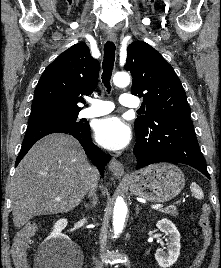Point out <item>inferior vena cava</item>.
Masks as SVG:
<instances>
[{
	"label": "inferior vena cava",
	"mask_w": 221,
	"mask_h": 268,
	"mask_svg": "<svg viewBox=\"0 0 221 268\" xmlns=\"http://www.w3.org/2000/svg\"><path fill=\"white\" fill-rule=\"evenodd\" d=\"M96 187H97V180L94 182V184L90 188V194H89L90 196L94 194Z\"/></svg>",
	"instance_id": "inferior-vena-cava-1"
}]
</instances>
